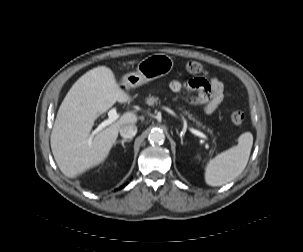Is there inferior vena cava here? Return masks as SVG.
<instances>
[{"label":"inferior vena cava","mask_w":303,"mask_h":252,"mask_svg":"<svg viewBox=\"0 0 303 252\" xmlns=\"http://www.w3.org/2000/svg\"><path fill=\"white\" fill-rule=\"evenodd\" d=\"M119 131L122 137L132 139L137 133V127L135 124H126L123 125Z\"/></svg>","instance_id":"obj_1"}]
</instances>
